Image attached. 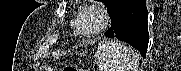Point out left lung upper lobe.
I'll list each match as a JSON object with an SVG mask.
<instances>
[{
  "instance_id": "1",
  "label": "left lung upper lobe",
  "mask_w": 181,
  "mask_h": 71,
  "mask_svg": "<svg viewBox=\"0 0 181 71\" xmlns=\"http://www.w3.org/2000/svg\"><path fill=\"white\" fill-rule=\"evenodd\" d=\"M107 6V10L111 8V6L115 3L116 0H100Z\"/></svg>"
}]
</instances>
